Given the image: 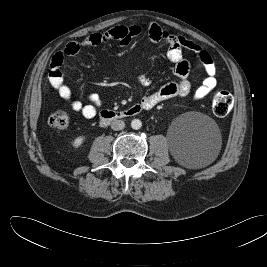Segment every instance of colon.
<instances>
[{
  "label": "colon",
  "mask_w": 267,
  "mask_h": 267,
  "mask_svg": "<svg viewBox=\"0 0 267 267\" xmlns=\"http://www.w3.org/2000/svg\"><path fill=\"white\" fill-rule=\"evenodd\" d=\"M233 96L226 90L217 91L213 95L212 109L217 117L229 114L233 107ZM49 125L55 129L63 130L69 125V117L64 111H56L49 117Z\"/></svg>",
  "instance_id": "colon-1"
}]
</instances>
